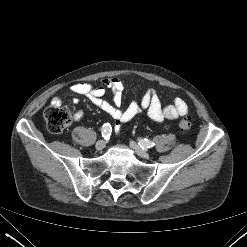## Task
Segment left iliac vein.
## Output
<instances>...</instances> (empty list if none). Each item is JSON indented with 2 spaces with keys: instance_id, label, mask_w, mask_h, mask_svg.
Here are the masks:
<instances>
[{
  "instance_id": "left-iliac-vein-1",
  "label": "left iliac vein",
  "mask_w": 247,
  "mask_h": 247,
  "mask_svg": "<svg viewBox=\"0 0 247 247\" xmlns=\"http://www.w3.org/2000/svg\"><path fill=\"white\" fill-rule=\"evenodd\" d=\"M130 147L133 149V151L142 158H149V154L147 151L142 149L138 144H136L134 141L130 142Z\"/></svg>"
}]
</instances>
